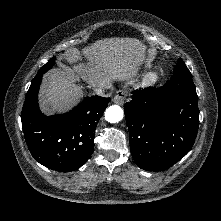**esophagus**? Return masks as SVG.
<instances>
[{"label": "esophagus", "mask_w": 221, "mask_h": 221, "mask_svg": "<svg viewBox=\"0 0 221 221\" xmlns=\"http://www.w3.org/2000/svg\"><path fill=\"white\" fill-rule=\"evenodd\" d=\"M127 98V92L123 90L117 91L116 95L114 96V102L118 105H123Z\"/></svg>", "instance_id": "1"}]
</instances>
